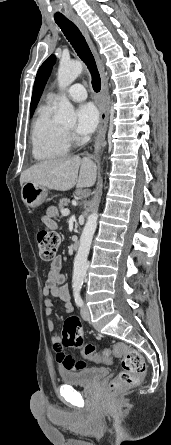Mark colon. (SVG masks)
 Wrapping results in <instances>:
<instances>
[{"instance_id":"obj_1","label":"colon","mask_w":171,"mask_h":445,"mask_svg":"<svg viewBox=\"0 0 171 445\" xmlns=\"http://www.w3.org/2000/svg\"><path fill=\"white\" fill-rule=\"evenodd\" d=\"M40 257L45 261L54 259L60 244L57 233L38 229L35 234ZM82 321L77 316L68 317L62 330V343L82 349L85 358L108 363L115 358H121L122 371L110 381L108 392L118 394L138 385L146 373V362L141 353L126 344L116 343L110 349H105L100 353L95 351L92 345H83Z\"/></svg>"}]
</instances>
